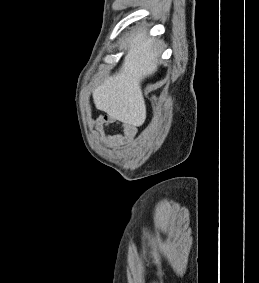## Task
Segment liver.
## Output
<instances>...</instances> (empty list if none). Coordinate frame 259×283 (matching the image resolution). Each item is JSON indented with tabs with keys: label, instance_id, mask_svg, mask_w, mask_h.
<instances>
[{
	"label": "liver",
	"instance_id": "6515ba94",
	"mask_svg": "<svg viewBox=\"0 0 259 283\" xmlns=\"http://www.w3.org/2000/svg\"><path fill=\"white\" fill-rule=\"evenodd\" d=\"M159 55L153 38L146 32L136 34L119 71L93 91L96 108L125 124L141 126L146 119L141 83L157 71Z\"/></svg>",
	"mask_w": 259,
	"mask_h": 283
}]
</instances>
